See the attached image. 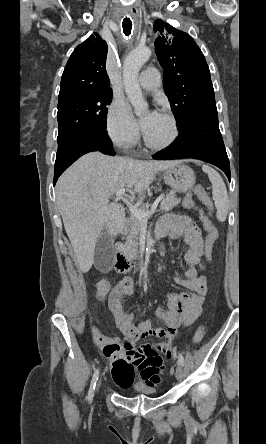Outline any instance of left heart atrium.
<instances>
[{"mask_svg": "<svg viewBox=\"0 0 266 444\" xmlns=\"http://www.w3.org/2000/svg\"><path fill=\"white\" fill-rule=\"evenodd\" d=\"M160 114L156 111L153 110L150 113H148L142 120H141V125L143 127V129H147L159 116Z\"/></svg>", "mask_w": 266, "mask_h": 444, "instance_id": "39dd6f15", "label": "left heart atrium"}]
</instances>
